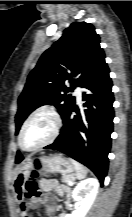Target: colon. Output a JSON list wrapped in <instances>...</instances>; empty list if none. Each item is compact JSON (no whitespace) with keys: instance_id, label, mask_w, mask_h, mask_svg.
<instances>
[{"instance_id":"obj_1","label":"colon","mask_w":132,"mask_h":217,"mask_svg":"<svg viewBox=\"0 0 132 217\" xmlns=\"http://www.w3.org/2000/svg\"><path fill=\"white\" fill-rule=\"evenodd\" d=\"M36 168H40V162L39 160L35 161ZM37 174L34 171L31 175V177L26 181L23 189V197L27 200L36 199L40 195V189L38 182L36 180ZM28 217H31L30 215Z\"/></svg>"}]
</instances>
